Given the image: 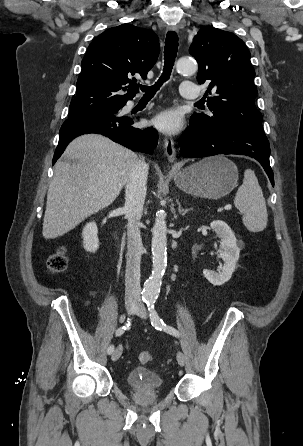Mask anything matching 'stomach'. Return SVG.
<instances>
[{"instance_id":"0dacf381","label":"stomach","mask_w":303,"mask_h":446,"mask_svg":"<svg viewBox=\"0 0 303 446\" xmlns=\"http://www.w3.org/2000/svg\"><path fill=\"white\" fill-rule=\"evenodd\" d=\"M174 181L187 194L219 199L237 185L238 168L224 156L208 157L176 171Z\"/></svg>"}]
</instances>
